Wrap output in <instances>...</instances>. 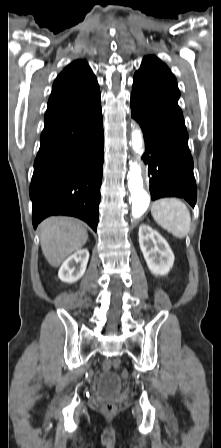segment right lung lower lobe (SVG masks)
Segmentation results:
<instances>
[{
    "instance_id": "right-lung-lower-lobe-1",
    "label": "right lung lower lobe",
    "mask_w": 221,
    "mask_h": 448,
    "mask_svg": "<svg viewBox=\"0 0 221 448\" xmlns=\"http://www.w3.org/2000/svg\"><path fill=\"white\" fill-rule=\"evenodd\" d=\"M100 94L45 122L30 185L34 228L50 215H69L94 231L103 169Z\"/></svg>"
}]
</instances>
